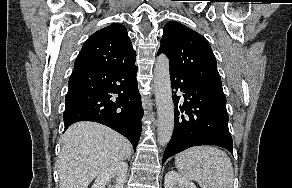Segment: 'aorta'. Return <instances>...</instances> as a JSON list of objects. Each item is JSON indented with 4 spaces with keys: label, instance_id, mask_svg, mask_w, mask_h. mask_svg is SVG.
<instances>
[{
    "label": "aorta",
    "instance_id": "obj_1",
    "mask_svg": "<svg viewBox=\"0 0 292 188\" xmlns=\"http://www.w3.org/2000/svg\"><path fill=\"white\" fill-rule=\"evenodd\" d=\"M154 93L158 115V143H169L174 130V104L169 72V59L165 54L157 57L154 67Z\"/></svg>",
    "mask_w": 292,
    "mask_h": 188
}]
</instances>
